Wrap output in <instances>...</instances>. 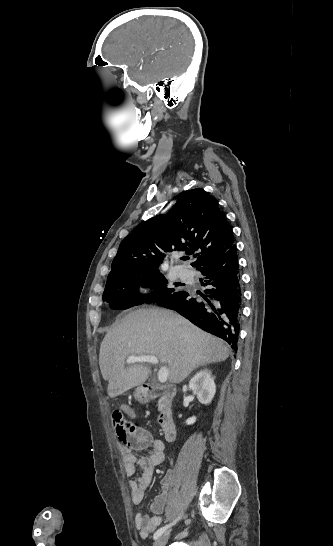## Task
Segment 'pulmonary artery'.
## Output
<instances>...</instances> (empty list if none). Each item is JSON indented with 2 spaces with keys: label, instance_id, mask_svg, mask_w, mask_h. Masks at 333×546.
Masks as SVG:
<instances>
[{
  "label": "pulmonary artery",
  "instance_id": "1",
  "mask_svg": "<svg viewBox=\"0 0 333 546\" xmlns=\"http://www.w3.org/2000/svg\"><path fill=\"white\" fill-rule=\"evenodd\" d=\"M178 275L183 281H191L194 277L193 272L188 268L180 269Z\"/></svg>",
  "mask_w": 333,
  "mask_h": 546
}]
</instances>
